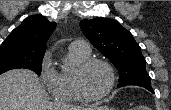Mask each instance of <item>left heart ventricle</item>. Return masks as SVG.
I'll list each match as a JSON object with an SVG mask.
<instances>
[{"mask_svg":"<svg viewBox=\"0 0 171 110\" xmlns=\"http://www.w3.org/2000/svg\"><path fill=\"white\" fill-rule=\"evenodd\" d=\"M110 76L108 70L101 64L92 65L83 75L82 84L85 91L92 95H99L109 85Z\"/></svg>","mask_w":171,"mask_h":110,"instance_id":"left-heart-ventricle-1","label":"left heart ventricle"}]
</instances>
